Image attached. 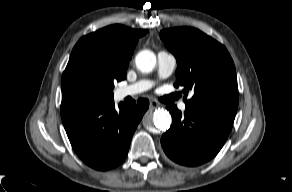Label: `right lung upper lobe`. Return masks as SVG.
<instances>
[{
	"instance_id": "obj_1",
	"label": "right lung upper lobe",
	"mask_w": 292,
	"mask_h": 192,
	"mask_svg": "<svg viewBox=\"0 0 292 192\" xmlns=\"http://www.w3.org/2000/svg\"><path fill=\"white\" fill-rule=\"evenodd\" d=\"M147 30H135L123 25H111L82 37L70 58L81 57L118 81L125 79L129 60Z\"/></svg>"
}]
</instances>
